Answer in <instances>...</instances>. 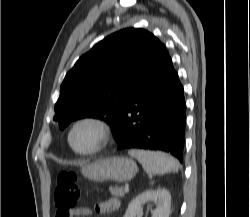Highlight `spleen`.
I'll use <instances>...</instances> for the list:
<instances>
[{"mask_svg": "<svg viewBox=\"0 0 250 217\" xmlns=\"http://www.w3.org/2000/svg\"><path fill=\"white\" fill-rule=\"evenodd\" d=\"M128 154L136 158L142 164L145 172L149 174L161 175L177 172L179 169L178 162L164 152L131 149Z\"/></svg>", "mask_w": 250, "mask_h": 217, "instance_id": "3e777b00", "label": "spleen"}]
</instances>
